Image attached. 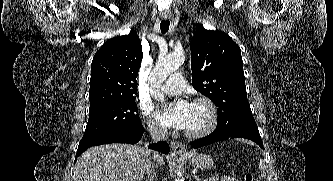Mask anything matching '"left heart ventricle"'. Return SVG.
<instances>
[{"instance_id":"1","label":"left heart ventricle","mask_w":333,"mask_h":181,"mask_svg":"<svg viewBox=\"0 0 333 181\" xmlns=\"http://www.w3.org/2000/svg\"><path fill=\"white\" fill-rule=\"evenodd\" d=\"M207 122V111L202 105H191V119L186 130L200 129Z\"/></svg>"}]
</instances>
